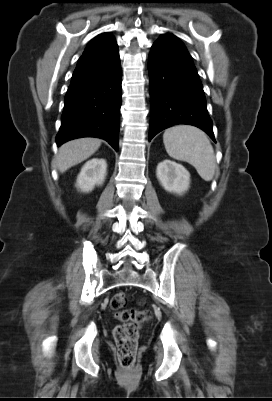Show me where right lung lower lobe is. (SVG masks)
Returning <instances> with one entry per match:
<instances>
[{"label": "right lung lower lobe", "instance_id": "1", "mask_svg": "<svg viewBox=\"0 0 272 401\" xmlns=\"http://www.w3.org/2000/svg\"><path fill=\"white\" fill-rule=\"evenodd\" d=\"M121 80L117 44L76 67L65 96L57 146L75 138L97 137L118 151Z\"/></svg>", "mask_w": 272, "mask_h": 401}]
</instances>
